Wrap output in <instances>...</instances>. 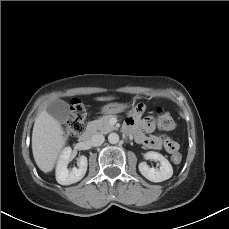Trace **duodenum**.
<instances>
[{
	"label": "duodenum",
	"instance_id": "410a0bca",
	"mask_svg": "<svg viewBox=\"0 0 229 229\" xmlns=\"http://www.w3.org/2000/svg\"><path fill=\"white\" fill-rule=\"evenodd\" d=\"M95 131L93 128H89L83 135L80 136L79 141L81 143H87L90 141Z\"/></svg>",
	"mask_w": 229,
	"mask_h": 229
}]
</instances>
